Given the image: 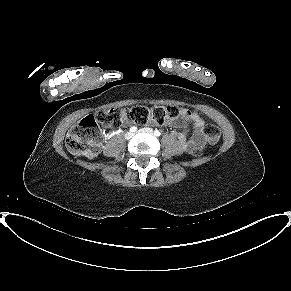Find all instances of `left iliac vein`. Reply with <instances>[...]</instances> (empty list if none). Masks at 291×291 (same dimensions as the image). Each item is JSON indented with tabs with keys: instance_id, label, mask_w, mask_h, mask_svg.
Returning a JSON list of instances; mask_svg holds the SVG:
<instances>
[{
	"instance_id": "1",
	"label": "left iliac vein",
	"mask_w": 291,
	"mask_h": 291,
	"mask_svg": "<svg viewBox=\"0 0 291 291\" xmlns=\"http://www.w3.org/2000/svg\"><path fill=\"white\" fill-rule=\"evenodd\" d=\"M138 133L153 134V130L151 128H143V129L138 130Z\"/></svg>"
}]
</instances>
